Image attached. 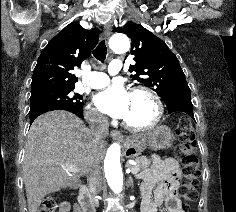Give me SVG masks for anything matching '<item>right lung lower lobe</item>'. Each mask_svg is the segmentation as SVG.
I'll list each match as a JSON object with an SVG mask.
<instances>
[{"mask_svg":"<svg viewBox=\"0 0 236 212\" xmlns=\"http://www.w3.org/2000/svg\"><path fill=\"white\" fill-rule=\"evenodd\" d=\"M52 110H66L70 111L74 114H76L78 117L83 118V109L80 108H74V107H63L58 105H48V104H37L34 106H30V124L34 121L35 118H37L39 115L52 111Z\"/></svg>","mask_w":236,"mask_h":212,"instance_id":"98d812e1","label":"right lung lower lobe"}]
</instances>
